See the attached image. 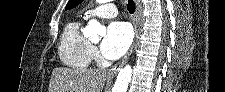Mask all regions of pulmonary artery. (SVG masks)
Returning a JSON list of instances; mask_svg holds the SVG:
<instances>
[{
  "label": "pulmonary artery",
  "instance_id": "e3ab8cb5",
  "mask_svg": "<svg viewBox=\"0 0 225 92\" xmlns=\"http://www.w3.org/2000/svg\"><path fill=\"white\" fill-rule=\"evenodd\" d=\"M85 15L87 18L91 16L112 18L117 15V5L115 2L105 0L102 1L99 7L88 10Z\"/></svg>",
  "mask_w": 225,
  "mask_h": 92
}]
</instances>
